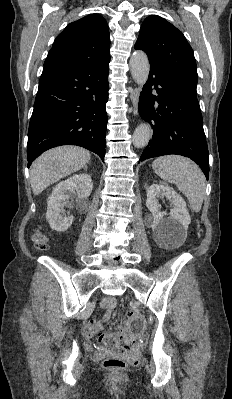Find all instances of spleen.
<instances>
[{"label": "spleen", "mask_w": 232, "mask_h": 399, "mask_svg": "<svg viewBox=\"0 0 232 399\" xmlns=\"http://www.w3.org/2000/svg\"><path fill=\"white\" fill-rule=\"evenodd\" d=\"M152 168L161 180L176 184L178 190L188 198L193 211H200L206 180L197 164L182 156H162L154 160Z\"/></svg>", "instance_id": "3e777b00"}]
</instances>
